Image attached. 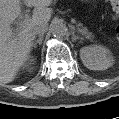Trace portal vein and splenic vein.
Masks as SVG:
<instances>
[{"label": "portal vein and splenic vein", "mask_w": 119, "mask_h": 119, "mask_svg": "<svg viewBox=\"0 0 119 119\" xmlns=\"http://www.w3.org/2000/svg\"><path fill=\"white\" fill-rule=\"evenodd\" d=\"M28 21H29V15H28V13H25V15H24V21L22 22L21 26H23Z\"/></svg>", "instance_id": "1"}]
</instances>
